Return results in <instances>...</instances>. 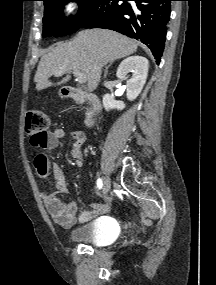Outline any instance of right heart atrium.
I'll return each instance as SVG.
<instances>
[{
  "mask_svg": "<svg viewBox=\"0 0 216 285\" xmlns=\"http://www.w3.org/2000/svg\"><path fill=\"white\" fill-rule=\"evenodd\" d=\"M76 7L74 5H67L64 9V14L67 17H70L75 14Z\"/></svg>",
  "mask_w": 216,
  "mask_h": 285,
  "instance_id": "right-heart-atrium-1",
  "label": "right heart atrium"
}]
</instances>
